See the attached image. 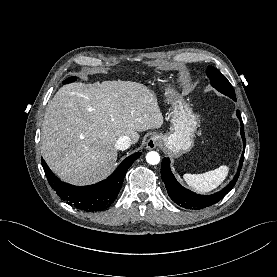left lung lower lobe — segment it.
<instances>
[{
    "label": "left lung lower lobe",
    "instance_id": "left-lung-lower-lobe-1",
    "mask_svg": "<svg viewBox=\"0 0 277 277\" xmlns=\"http://www.w3.org/2000/svg\"><path fill=\"white\" fill-rule=\"evenodd\" d=\"M236 115L239 118L240 123H241V136L243 139L244 150H243V153L240 158V163H239L237 174L234 176L233 180L221 191H219L215 194H212V195H207V196L198 195L196 193H193L192 191L184 188L177 182V180L175 179L174 175L171 172L169 159L164 158L162 160V164H161L162 180L165 183L168 195L179 206L187 208V209H192V210H199V209L207 208V207L219 202L235 185V183L239 177L240 169L243 164L244 151H245V145H246L243 122H242L239 111L236 112Z\"/></svg>",
    "mask_w": 277,
    "mask_h": 277
}]
</instances>
